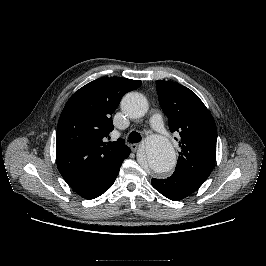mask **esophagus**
Returning <instances> with one entry per match:
<instances>
[{
	"mask_svg": "<svg viewBox=\"0 0 266 266\" xmlns=\"http://www.w3.org/2000/svg\"><path fill=\"white\" fill-rule=\"evenodd\" d=\"M139 146H140L139 143H133V144L130 145V148H131V150L133 152H135L138 149Z\"/></svg>",
	"mask_w": 266,
	"mask_h": 266,
	"instance_id": "obj_1",
	"label": "esophagus"
}]
</instances>
